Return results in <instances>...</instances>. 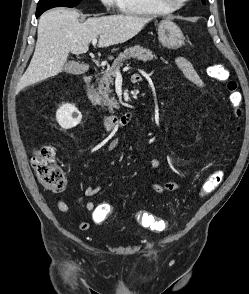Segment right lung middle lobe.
<instances>
[{
    "label": "right lung middle lobe",
    "instance_id": "dd1d6c3e",
    "mask_svg": "<svg viewBox=\"0 0 249 294\" xmlns=\"http://www.w3.org/2000/svg\"><path fill=\"white\" fill-rule=\"evenodd\" d=\"M81 0H39L36 12H44L53 7H74L78 5Z\"/></svg>",
    "mask_w": 249,
    "mask_h": 294
}]
</instances>
